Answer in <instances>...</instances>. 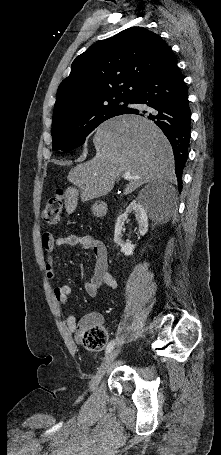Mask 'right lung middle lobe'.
<instances>
[{
  "mask_svg": "<svg viewBox=\"0 0 221 455\" xmlns=\"http://www.w3.org/2000/svg\"><path fill=\"white\" fill-rule=\"evenodd\" d=\"M124 103V104H123ZM130 98H115L52 123L54 151H71L84 144L86 137L102 122L125 114Z\"/></svg>",
  "mask_w": 221,
  "mask_h": 455,
  "instance_id": "dd1d6c3e",
  "label": "right lung middle lobe"
}]
</instances>
